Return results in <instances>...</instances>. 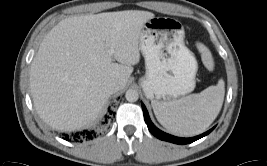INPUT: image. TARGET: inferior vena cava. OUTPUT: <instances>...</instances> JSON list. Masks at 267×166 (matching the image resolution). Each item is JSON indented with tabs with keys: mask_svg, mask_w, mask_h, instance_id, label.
<instances>
[{
	"mask_svg": "<svg viewBox=\"0 0 267 166\" xmlns=\"http://www.w3.org/2000/svg\"><path fill=\"white\" fill-rule=\"evenodd\" d=\"M105 89L109 94H113L118 91L119 86L115 82H109L106 84Z\"/></svg>",
	"mask_w": 267,
	"mask_h": 166,
	"instance_id": "obj_1",
	"label": "inferior vena cava"
}]
</instances>
